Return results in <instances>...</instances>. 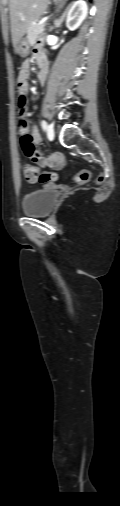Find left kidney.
Instances as JSON below:
<instances>
[{
  "instance_id": "obj_1",
  "label": "left kidney",
  "mask_w": 120,
  "mask_h": 506,
  "mask_svg": "<svg viewBox=\"0 0 120 506\" xmlns=\"http://www.w3.org/2000/svg\"><path fill=\"white\" fill-rule=\"evenodd\" d=\"M88 12V6L85 1L78 0L73 3L68 11L66 26L70 30L77 29L83 20L86 18Z\"/></svg>"
}]
</instances>
